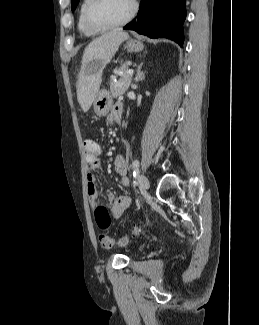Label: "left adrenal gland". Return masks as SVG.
<instances>
[{"label": "left adrenal gland", "mask_w": 259, "mask_h": 325, "mask_svg": "<svg viewBox=\"0 0 259 325\" xmlns=\"http://www.w3.org/2000/svg\"><path fill=\"white\" fill-rule=\"evenodd\" d=\"M142 65L143 64H140L138 67H137V74H136V77H135V83H138L139 81H142L144 79V73L141 71V68H142Z\"/></svg>", "instance_id": "1"}]
</instances>
